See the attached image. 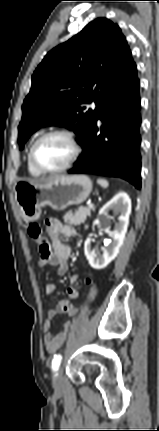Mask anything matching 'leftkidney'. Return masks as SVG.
Returning <instances> with one entry per match:
<instances>
[{"label": "left kidney", "instance_id": "1", "mask_svg": "<svg viewBox=\"0 0 159 431\" xmlns=\"http://www.w3.org/2000/svg\"><path fill=\"white\" fill-rule=\"evenodd\" d=\"M113 210L114 213L119 214L118 223L115 224L114 230L109 233L111 240L106 245L102 255H98L94 248H92V240L88 238L84 243V253L90 264L94 269L100 270L105 268L112 262L123 244L125 234L129 224V215L131 213V200L127 193L119 192L109 202H107L99 211L98 219L93 223L99 225L100 220L102 223L109 222L108 212Z\"/></svg>", "mask_w": 159, "mask_h": 431}]
</instances>
